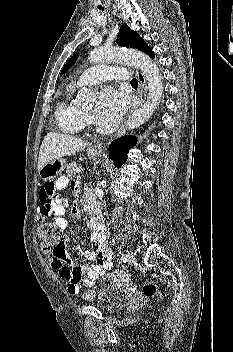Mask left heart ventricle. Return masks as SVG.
I'll list each match as a JSON object with an SVG mask.
<instances>
[{
  "label": "left heart ventricle",
  "mask_w": 233,
  "mask_h": 352,
  "mask_svg": "<svg viewBox=\"0 0 233 352\" xmlns=\"http://www.w3.org/2000/svg\"><path fill=\"white\" fill-rule=\"evenodd\" d=\"M87 111H88V112H92V109H91V108H89Z\"/></svg>",
  "instance_id": "b2bd125f"
}]
</instances>
